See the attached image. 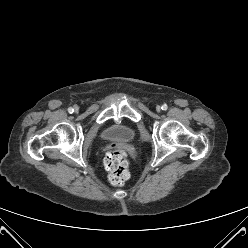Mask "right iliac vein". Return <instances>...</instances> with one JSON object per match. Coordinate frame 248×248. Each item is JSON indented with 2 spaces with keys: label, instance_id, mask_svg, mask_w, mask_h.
<instances>
[{
  "label": "right iliac vein",
  "instance_id": "right-iliac-vein-1",
  "mask_svg": "<svg viewBox=\"0 0 248 248\" xmlns=\"http://www.w3.org/2000/svg\"><path fill=\"white\" fill-rule=\"evenodd\" d=\"M78 110H79V108L76 106V107H75V112H78Z\"/></svg>",
  "mask_w": 248,
  "mask_h": 248
}]
</instances>
